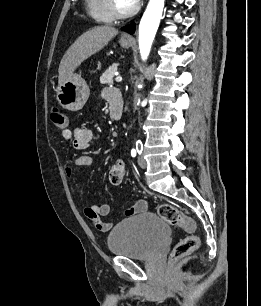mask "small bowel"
<instances>
[{
  "label": "small bowel",
  "mask_w": 261,
  "mask_h": 306,
  "mask_svg": "<svg viewBox=\"0 0 261 306\" xmlns=\"http://www.w3.org/2000/svg\"><path fill=\"white\" fill-rule=\"evenodd\" d=\"M103 97L112 104L114 101L121 102L120 94L113 89H105ZM122 103V102H121ZM62 137L66 141H71L73 147L77 150H85L89 148L94 138V133L91 129L85 127H79L74 130L66 129L62 132ZM92 158L88 155H81L74 158L70 164L66 165L65 173L67 177L73 176V168H87L91 166ZM147 205L144 201H139L136 205L126 211L127 216H131L140 213L146 209ZM83 212L87 218L94 223L97 229L106 232L112 227L110 222L102 220V217L108 216L111 212V206L109 204L84 206Z\"/></svg>",
  "instance_id": "obj_1"
}]
</instances>
